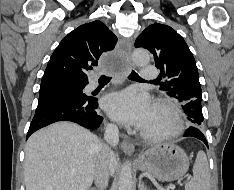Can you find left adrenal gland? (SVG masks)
Returning a JSON list of instances; mask_svg holds the SVG:
<instances>
[{"label": "left adrenal gland", "mask_w": 234, "mask_h": 190, "mask_svg": "<svg viewBox=\"0 0 234 190\" xmlns=\"http://www.w3.org/2000/svg\"><path fill=\"white\" fill-rule=\"evenodd\" d=\"M138 189H139V190H149V189H147V187L144 185V183L141 182V181L139 182Z\"/></svg>", "instance_id": "1"}]
</instances>
